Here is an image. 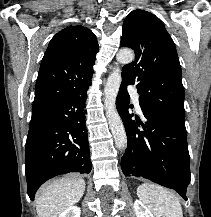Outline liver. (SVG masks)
<instances>
[{"label":"liver","instance_id":"obj_1","mask_svg":"<svg viewBox=\"0 0 211 217\" xmlns=\"http://www.w3.org/2000/svg\"><path fill=\"white\" fill-rule=\"evenodd\" d=\"M85 181L78 176H68L43 187L36 200L38 217H59L84 194Z\"/></svg>","mask_w":211,"mask_h":217}]
</instances>
